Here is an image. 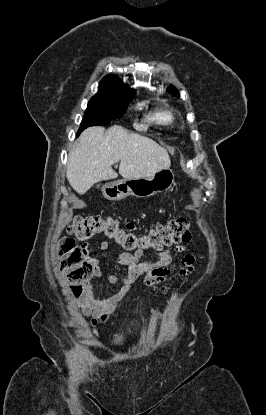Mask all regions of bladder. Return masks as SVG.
I'll return each instance as SVG.
<instances>
[{
	"mask_svg": "<svg viewBox=\"0 0 266 415\" xmlns=\"http://www.w3.org/2000/svg\"><path fill=\"white\" fill-rule=\"evenodd\" d=\"M127 341V334L124 331H119L114 335L113 343L116 346H123Z\"/></svg>",
	"mask_w": 266,
	"mask_h": 415,
	"instance_id": "obj_1",
	"label": "bladder"
}]
</instances>
